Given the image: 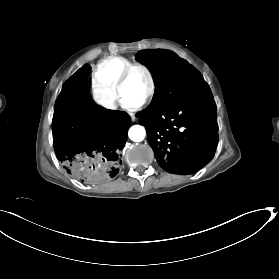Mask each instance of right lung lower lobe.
Returning a JSON list of instances; mask_svg holds the SVG:
<instances>
[{
  "label": "right lung lower lobe",
  "instance_id": "98d812e1",
  "mask_svg": "<svg viewBox=\"0 0 279 279\" xmlns=\"http://www.w3.org/2000/svg\"><path fill=\"white\" fill-rule=\"evenodd\" d=\"M88 68L84 65L63 85L52 121L53 143L68 174L100 185L119 173L130 117L95 104L86 85Z\"/></svg>",
  "mask_w": 279,
  "mask_h": 279
}]
</instances>
